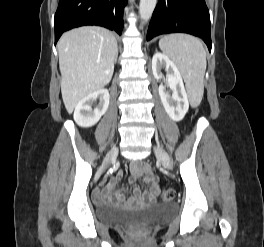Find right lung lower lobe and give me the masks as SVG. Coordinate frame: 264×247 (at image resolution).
Wrapping results in <instances>:
<instances>
[{
    "instance_id": "right-lung-lower-lobe-1",
    "label": "right lung lower lobe",
    "mask_w": 264,
    "mask_h": 247,
    "mask_svg": "<svg viewBox=\"0 0 264 247\" xmlns=\"http://www.w3.org/2000/svg\"><path fill=\"white\" fill-rule=\"evenodd\" d=\"M126 0H59L55 14V43L63 32L85 25H98L121 35Z\"/></svg>"
}]
</instances>
